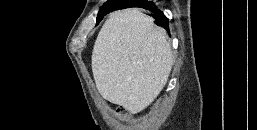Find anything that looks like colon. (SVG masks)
Instances as JSON below:
<instances>
[{"instance_id": "obj_1", "label": "colon", "mask_w": 257, "mask_h": 130, "mask_svg": "<svg viewBox=\"0 0 257 130\" xmlns=\"http://www.w3.org/2000/svg\"><path fill=\"white\" fill-rule=\"evenodd\" d=\"M120 113L123 115V116H125V117H127L129 114H128V112L125 110V109H121L120 110Z\"/></svg>"}]
</instances>
